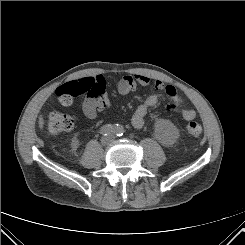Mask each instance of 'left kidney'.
<instances>
[{
  "label": "left kidney",
  "mask_w": 245,
  "mask_h": 245,
  "mask_svg": "<svg viewBox=\"0 0 245 245\" xmlns=\"http://www.w3.org/2000/svg\"><path fill=\"white\" fill-rule=\"evenodd\" d=\"M156 132L166 143L172 144L179 137L178 129L167 120H160L156 124Z\"/></svg>",
  "instance_id": "obj_1"
}]
</instances>
